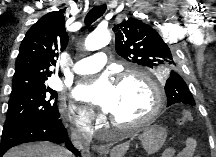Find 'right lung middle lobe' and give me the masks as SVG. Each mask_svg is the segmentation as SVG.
<instances>
[{"label":"right lung middle lobe","mask_w":216,"mask_h":157,"mask_svg":"<svg viewBox=\"0 0 216 157\" xmlns=\"http://www.w3.org/2000/svg\"><path fill=\"white\" fill-rule=\"evenodd\" d=\"M57 92L50 87L24 89L11 94L3 132L38 120L59 118Z\"/></svg>","instance_id":"right-lung-middle-lobe-1"}]
</instances>
